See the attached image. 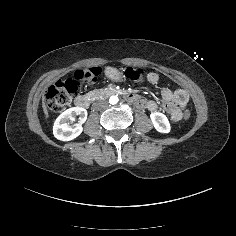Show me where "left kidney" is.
I'll use <instances>...</instances> for the list:
<instances>
[{
    "label": "left kidney",
    "instance_id": "1",
    "mask_svg": "<svg viewBox=\"0 0 236 236\" xmlns=\"http://www.w3.org/2000/svg\"><path fill=\"white\" fill-rule=\"evenodd\" d=\"M152 123L155 129L161 133H169L170 132V123L167 117L160 112H153L150 115Z\"/></svg>",
    "mask_w": 236,
    "mask_h": 236
}]
</instances>
